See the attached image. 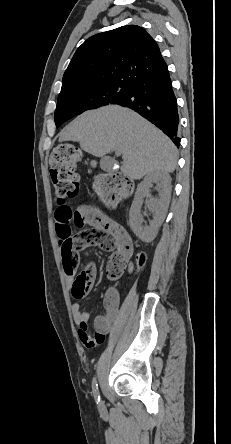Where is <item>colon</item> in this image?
I'll list each match as a JSON object with an SVG mask.
<instances>
[{
	"label": "colon",
	"instance_id": "5ec220e1",
	"mask_svg": "<svg viewBox=\"0 0 231 444\" xmlns=\"http://www.w3.org/2000/svg\"><path fill=\"white\" fill-rule=\"evenodd\" d=\"M80 153L72 145L64 144L59 146L50 156V177L57 196L60 199L73 196L78 189V173L76 165L79 161ZM95 189L106 205L114 206L124 195L133 188V183L122 174H107L101 176L95 182ZM73 223L77 227H83L85 218L76 213L73 216ZM129 255L125 251L114 252L108 262L107 275L110 279H118L124 272ZM145 256L140 255L136 259V266L144 264ZM63 267L75 270L78 265V254L71 250L65 251L62 257ZM93 268L91 266L79 272L73 280L72 294L76 298H82L88 293L93 280Z\"/></svg>",
	"mask_w": 231,
	"mask_h": 444
}]
</instances>
